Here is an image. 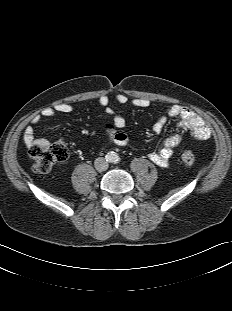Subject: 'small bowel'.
I'll return each instance as SVG.
<instances>
[{
	"instance_id": "1",
	"label": "small bowel",
	"mask_w": 232,
	"mask_h": 311,
	"mask_svg": "<svg viewBox=\"0 0 232 311\" xmlns=\"http://www.w3.org/2000/svg\"><path fill=\"white\" fill-rule=\"evenodd\" d=\"M115 100L120 105H132L134 107L144 108L149 105V100L145 98H137L130 100L126 95L119 94L115 97ZM101 107L106 108V113L113 116V123L106 125V132L108 139L118 145L126 146L129 143V138L125 133L117 132L115 128H123L125 126V118L121 114L115 113L112 109L108 108L109 97L103 95L98 100ZM74 110L73 106L68 103H58L51 107H46L41 111V115L33 117L32 123L38 125L41 122V117L51 118L56 113H71ZM168 118H178L181 128L187 130L190 135L199 141H206L211 135L210 128L205 123L202 117H200L193 110L182 107L180 105H173L166 110V113L159 117L152 126L154 133H160L165 127ZM184 139L183 134H174L167 137L163 141V145L159 150H155L149 154V159L160 167H167L170 162V158L173 154V150ZM23 141L28 148H31L38 144L50 143L45 138H39L35 136V130L33 126H27L23 133Z\"/></svg>"
}]
</instances>
